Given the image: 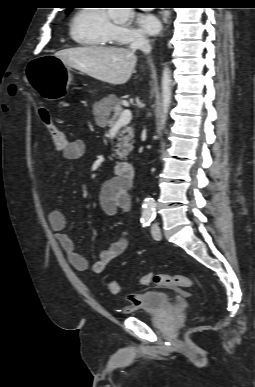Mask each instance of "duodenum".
<instances>
[{"label":"duodenum","instance_id":"duodenum-1","mask_svg":"<svg viewBox=\"0 0 255 387\" xmlns=\"http://www.w3.org/2000/svg\"><path fill=\"white\" fill-rule=\"evenodd\" d=\"M115 171L118 177L126 183H130L135 175V167L129 160L117 163Z\"/></svg>","mask_w":255,"mask_h":387}]
</instances>
